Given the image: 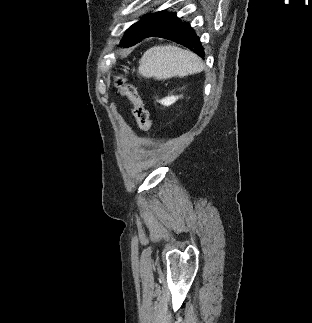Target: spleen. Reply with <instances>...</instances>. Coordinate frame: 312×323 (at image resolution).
Masks as SVG:
<instances>
[{"mask_svg": "<svg viewBox=\"0 0 312 323\" xmlns=\"http://www.w3.org/2000/svg\"><path fill=\"white\" fill-rule=\"evenodd\" d=\"M138 70L144 78L167 80L199 74L204 70V64L199 56L177 46H153L144 52Z\"/></svg>", "mask_w": 312, "mask_h": 323, "instance_id": "1", "label": "spleen"}]
</instances>
